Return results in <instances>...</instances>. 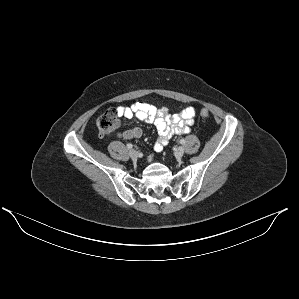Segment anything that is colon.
Returning <instances> with one entry per match:
<instances>
[{
	"label": "colon",
	"instance_id": "1",
	"mask_svg": "<svg viewBox=\"0 0 299 299\" xmlns=\"http://www.w3.org/2000/svg\"><path fill=\"white\" fill-rule=\"evenodd\" d=\"M200 115L203 118H207L209 116V112L206 109H202L200 111ZM97 127L102 133L113 132L118 127V117L114 111H107L103 113L97 119Z\"/></svg>",
	"mask_w": 299,
	"mask_h": 299
}]
</instances>
